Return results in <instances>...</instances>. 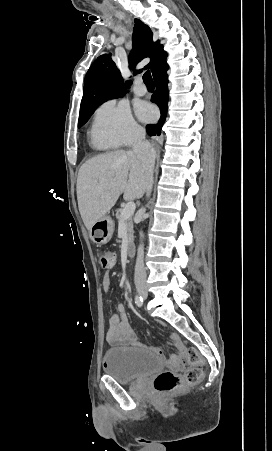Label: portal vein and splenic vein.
Wrapping results in <instances>:
<instances>
[{"label":"portal vein and splenic vein","instance_id":"18ae733b","mask_svg":"<svg viewBox=\"0 0 272 451\" xmlns=\"http://www.w3.org/2000/svg\"><path fill=\"white\" fill-rule=\"evenodd\" d=\"M135 204L134 202H127L124 210H122L120 216L121 218H123V220H128V218H130V216H133L134 212H135Z\"/></svg>","mask_w":272,"mask_h":451}]
</instances>
